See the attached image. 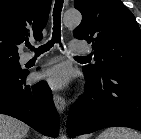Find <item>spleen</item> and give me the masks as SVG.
Wrapping results in <instances>:
<instances>
[{"label": "spleen", "instance_id": "1", "mask_svg": "<svg viewBox=\"0 0 141 139\" xmlns=\"http://www.w3.org/2000/svg\"><path fill=\"white\" fill-rule=\"evenodd\" d=\"M97 139H141V134L129 128L111 127L104 130Z\"/></svg>", "mask_w": 141, "mask_h": 139}]
</instances>
